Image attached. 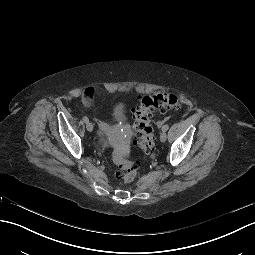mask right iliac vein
I'll use <instances>...</instances> for the list:
<instances>
[{"label":"right iliac vein","mask_w":255,"mask_h":255,"mask_svg":"<svg viewBox=\"0 0 255 255\" xmlns=\"http://www.w3.org/2000/svg\"><path fill=\"white\" fill-rule=\"evenodd\" d=\"M86 128H87V130H88L89 132L93 131V124H92L91 122H88V123L86 124Z\"/></svg>","instance_id":"obj_1"}]
</instances>
